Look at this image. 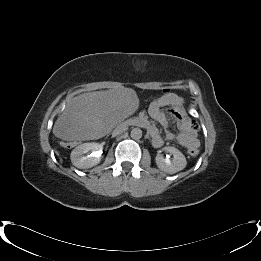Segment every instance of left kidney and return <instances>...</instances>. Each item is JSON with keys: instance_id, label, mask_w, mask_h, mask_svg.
Masks as SVG:
<instances>
[{"instance_id": "left-kidney-1", "label": "left kidney", "mask_w": 261, "mask_h": 261, "mask_svg": "<svg viewBox=\"0 0 261 261\" xmlns=\"http://www.w3.org/2000/svg\"><path fill=\"white\" fill-rule=\"evenodd\" d=\"M162 151L168 152L173 157L171 159L164 158L163 154L159 152L155 161L160 170L169 174H174L186 167V158L177 148L168 146L164 147Z\"/></svg>"}]
</instances>
